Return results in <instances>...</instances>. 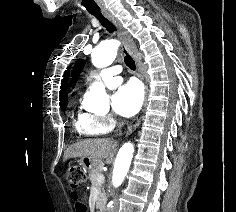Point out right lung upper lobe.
<instances>
[{"instance_id": "cb5924a9", "label": "right lung upper lobe", "mask_w": 236, "mask_h": 212, "mask_svg": "<svg viewBox=\"0 0 236 212\" xmlns=\"http://www.w3.org/2000/svg\"><path fill=\"white\" fill-rule=\"evenodd\" d=\"M69 68L70 67H68V70L65 71L64 76H63L64 78L62 79V82H61L60 101L67 99V80L69 76Z\"/></svg>"}]
</instances>
